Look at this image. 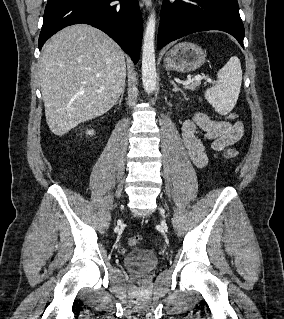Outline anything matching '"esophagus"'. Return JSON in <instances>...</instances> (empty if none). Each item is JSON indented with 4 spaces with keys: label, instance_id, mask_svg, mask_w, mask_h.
<instances>
[{
    "label": "esophagus",
    "instance_id": "1",
    "mask_svg": "<svg viewBox=\"0 0 284 319\" xmlns=\"http://www.w3.org/2000/svg\"><path fill=\"white\" fill-rule=\"evenodd\" d=\"M142 2L147 9L151 7V4H152L151 0H142Z\"/></svg>",
    "mask_w": 284,
    "mask_h": 319
}]
</instances>
